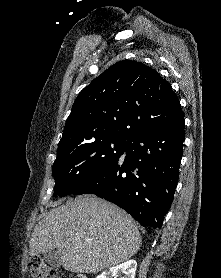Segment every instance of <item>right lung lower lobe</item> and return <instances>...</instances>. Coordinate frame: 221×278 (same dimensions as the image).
Instances as JSON below:
<instances>
[{"label": "right lung lower lobe", "mask_w": 221, "mask_h": 278, "mask_svg": "<svg viewBox=\"0 0 221 278\" xmlns=\"http://www.w3.org/2000/svg\"><path fill=\"white\" fill-rule=\"evenodd\" d=\"M184 117L131 136L121 157L72 194H95L127 211L142 226L161 228L179 176Z\"/></svg>", "instance_id": "obj_1"}]
</instances>
